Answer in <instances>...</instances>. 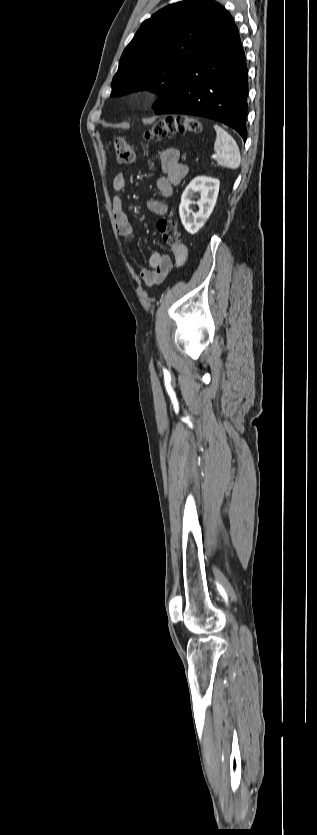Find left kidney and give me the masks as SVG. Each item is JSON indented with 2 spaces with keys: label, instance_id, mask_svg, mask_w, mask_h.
Wrapping results in <instances>:
<instances>
[{
  "label": "left kidney",
  "instance_id": "1",
  "mask_svg": "<svg viewBox=\"0 0 317 835\" xmlns=\"http://www.w3.org/2000/svg\"><path fill=\"white\" fill-rule=\"evenodd\" d=\"M220 181L216 178L198 176L194 178L185 188L179 206V215L184 228L191 234H195L203 227L215 207ZM198 193L200 198L194 201ZM192 205H197L199 210L194 212Z\"/></svg>",
  "mask_w": 317,
  "mask_h": 835
}]
</instances>
